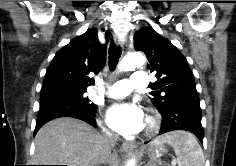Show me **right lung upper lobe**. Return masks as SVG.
Masks as SVG:
<instances>
[{
	"label": "right lung upper lobe",
	"mask_w": 236,
	"mask_h": 166,
	"mask_svg": "<svg viewBox=\"0 0 236 166\" xmlns=\"http://www.w3.org/2000/svg\"><path fill=\"white\" fill-rule=\"evenodd\" d=\"M111 33L106 31V41ZM106 63V45L98 40L97 29H89L70 41L54 56L42 89L55 86L86 90L94 80L88 74H98Z\"/></svg>",
	"instance_id": "cb5924a9"
}]
</instances>
